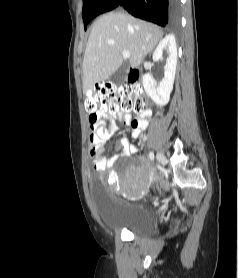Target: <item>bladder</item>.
<instances>
[{"label":"bladder","mask_w":238,"mask_h":278,"mask_svg":"<svg viewBox=\"0 0 238 278\" xmlns=\"http://www.w3.org/2000/svg\"><path fill=\"white\" fill-rule=\"evenodd\" d=\"M92 191L99 218L108 230L127 231L136 236H149L156 232L158 220L145 206L114 202V197H108L101 181H92Z\"/></svg>","instance_id":"1"}]
</instances>
